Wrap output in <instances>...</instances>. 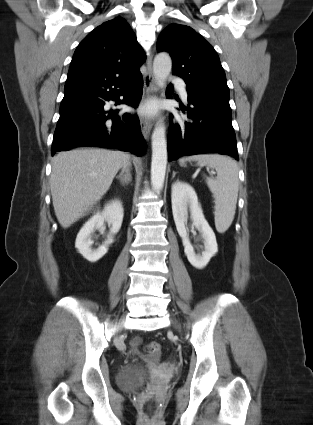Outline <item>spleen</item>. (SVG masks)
I'll use <instances>...</instances> for the list:
<instances>
[{
	"label": "spleen",
	"mask_w": 313,
	"mask_h": 425,
	"mask_svg": "<svg viewBox=\"0 0 313 425\" xmlns=\"http://www.w3.org/2000/svg\"><path fill=\"white\" fill-rule=\"evenodd\" d=\"M186 161H198L217 172V177L206 178L208 188L215 199V226L219 233H224L234 219L238 190V165L230 157L218 154L194 155L179 160L181 166Z\"/></svg>",
	"instance_id": "3e777b00"
}]
</instances>
